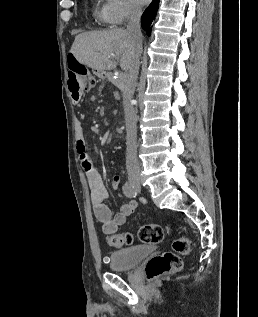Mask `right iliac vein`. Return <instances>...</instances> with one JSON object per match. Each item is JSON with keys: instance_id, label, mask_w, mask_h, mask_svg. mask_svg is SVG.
I'll return each mask as SVG.
<instances>
[{"instance_id": "63e3f726", "label": "right iliac vein", "mask_w": 258, "mask_h": 317, "mask_svg": "<svg viewBox=\"0 0 258 317\" xmlns=\"http://www.w3.org/2000/svg\"><path fill=\"white\" fill-rule=\"evenodd\" d=\"M130 184L131 186L141 187L142 181L141 179H131Z\"/></svg>"}]
</instances>
